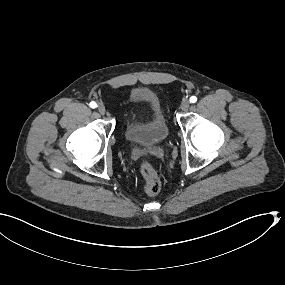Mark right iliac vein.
Segmentation results:
<instances>
[{
  "instance_id": "right-iliac-vein-1",
  "label": "right iliac vein",
  "mask_w": 285,
  "mask_h": 285,
  "mask_svg": "<svg viewBox=\"0 0 285 285\" xmlns=\"http://www.w3.org/2000/svg\"><path fill=\"white\" fill-rule=\"evenodd\" d=\"M98 112H99L100 114H104V113L106 112L105 106L102 105V104H100V105L98 106Z\"/></svg>"
}]
</instances>
